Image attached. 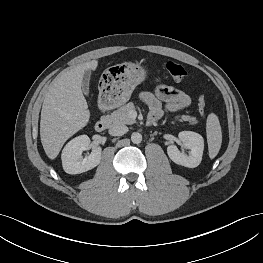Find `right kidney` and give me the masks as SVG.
I'll return each instance as SVG.
<instances>
[{"label": "right kidney", "mask_w": 263, "mask_h": 263, "mask_svg": "<svg viewBox=\"0 0 263 263\" xmlns=\"http://www.w3.org/2000/svg\"><path fill=\"white\" fill-rule=\"evenodd\" d=\"M90 139L87 135L78 136L69 141L62 151L63 169L68 174H80L95 168L101 160V147H95L90 155L82 158Z\"/></svg>", "instance_id": "1"}]
</instances>
